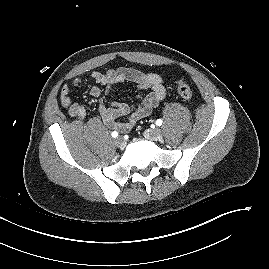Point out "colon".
<instances>
[{"label": "colon", "instance_id": "colon-1", "mask_svg": "<svg viewBox=\"0 0 269 269\" xmlns=\"http://www.w3.org/2000/svg\"><path fill=\"white\" fill-rule=\"evenodd\" d=\"M177 91L180 97L185 101H190L192 99V90L186 81L182 79L178 81Z\"/></svg>", "mask_w": 269, "mask_h": 269}]
</instances>
